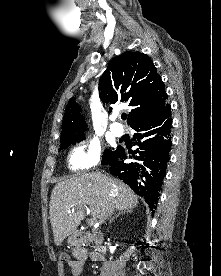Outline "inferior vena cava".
<instances>
[{"mask_svg":"<svg viewBox=\"0 0 221 276\" xmlns=\"http://www.w3.org/2000/svg\"><path fill=\"white\" fill-rule=\"evenodd\" d=\"M113 211H114V204L111 203L106 210L104 220L110 219L113 214ZM110 221H111V219H110Z\"/></svg>","mask_w":221,"mask_h":276,"instance_id":"obj_1","label":"inferior vena cava"}]
</instances>
